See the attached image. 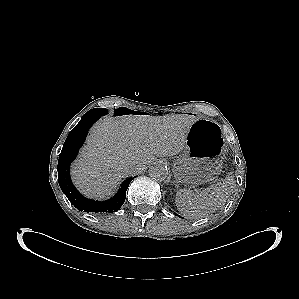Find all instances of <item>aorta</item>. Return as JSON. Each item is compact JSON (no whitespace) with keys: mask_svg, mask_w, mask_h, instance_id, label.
Masks as SVG:
<instances>
[{"mask_svg":"<svg viewBox=\"0 0 299 299\" xmlns=\"http://www.w3.org/2000/svg\"><path fill=\"white\" fill-rule=\"evenodd\" d=\"M149 175L155 180L164 181L168 175V168L162 163H156L149 168Z\"/></svg>","mask_w":299,"mask_h":299,"instance_id":"762f6f07","label":"aorta"}]
</instances>
